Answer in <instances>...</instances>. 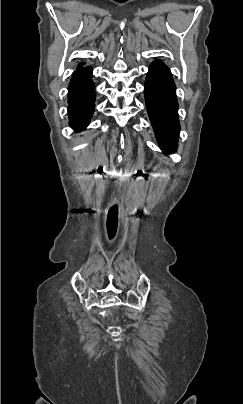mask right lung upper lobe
Listing matches in <instances>:
<instances>
[{
  "label": "right lung upper lobe",
  "instance_id": "right-lung-upper-lobe-1",
  "mask_svg": "<svg viewBox=\"0 0 243 404\" xmlns=\"http://www.w3.org/2000/svg\"><path fill=\"white\" fill-rule=\"evenodd\" d=\"M80 68H82V66H81V65H79L78 69H80Z\"/></svg>",
  "mask_w": 243,
  "mask_h": 404
}]
</instances>
